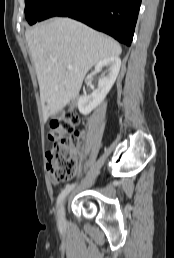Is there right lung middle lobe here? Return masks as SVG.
<instances>
[{
	"instance_id": "1",
	"label": "right lung middle lobe",
	"mask_w": 174,
	"mask_h": 258,
	"mask_svg": "<svg viewBox=\"0 0 174 258\" xmlns=\"http://www.w3.org/2000/svg\"><path fill=\"white\" fill-rule=\"evenodd\" d=\"M53 0H25L26 19L30 25L41 21Z\"/></svg>"
}]
</instances>
